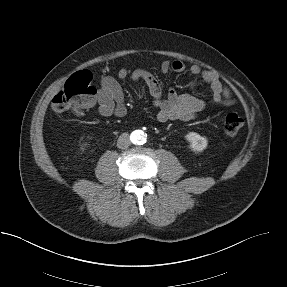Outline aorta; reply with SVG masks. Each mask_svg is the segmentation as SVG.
I'll return each instance as SVG.
<instances>
[{
    "mask_svg": "<svg viewBox=\"0 0 287 287\" xmlns=\"http://www.w3.org/2000/svg\"><path fill=\"white\" fill-rule=\"evenodd\" d=\"M131 138L134 143H144L146 141V135L140 130L132 132Z\"/></svg>",
    "mask_w": 287,
    "mask_h": 287,
    "instance_id": "762f6f07",
    "label": "aorta"
}]
</instances>
